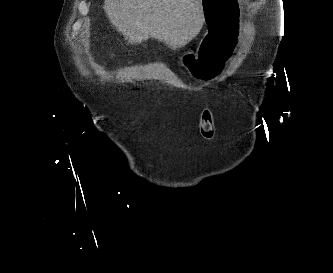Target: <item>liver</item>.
Returning <instances> with one entry per match:
<instances>
[{
  "instance_id": "obj_1",
  "label": "liver",
  "mask_w": 333,
  "mask_h": 273,
  "mask_svg": "<svg viewBox=\"0 0 333 273\" xmlns=\"http://www.w3.org/2000/svg\"><path fill=\"white\" fill-rule=\"evenodd\" d=\"M103 9L129 43L151 37L172 49L191 41L205 21L202 0H105Z\"/></svg>"
}]
</instances>
